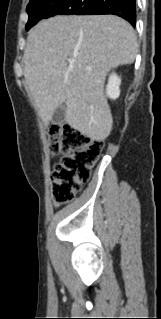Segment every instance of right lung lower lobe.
I'll return each mask as SVG.
<instances>
[{"label": "right lung lower lobe", "mask_w": 161, "mask_h": 319, "mask_svg": "<svg viewBox=\"0 0 161 319\" xmlns=\"http://www.w3.org/2000/svg\"><path fill=\"white\" fill-rule=\"evenodd\" d=\"M112 14L136 23V0H89L75 15Z\"/></svg>", "instance_id": "1"}]
</instances>
